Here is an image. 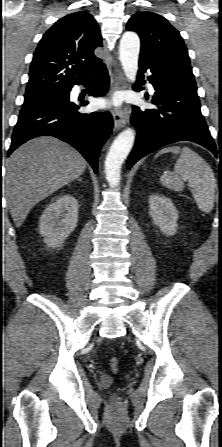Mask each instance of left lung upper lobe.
<instances>
[{"mask_svg":"<svg viewBox=\"0 0 222 447\" xmlns=\"http://www.w3.org/2000/svg\"><path fill=\"white\" fill-rule=\"evenodd\" d=\"M126 29L141 38L140 60L153 66L197 91L187 48L179 32L162 16L138 12L128 21Z\"/></svg>","mask_w":222,"mask_h":447,"instance_id":"1","label":"left lung upper lobe"}]
</instances>
